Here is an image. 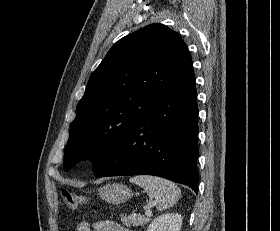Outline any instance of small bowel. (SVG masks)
<instances>
[{
	"mask_svg": "<svg viewBox=\"0 0 280 231\" xmlns=\"http://www.w3.org/2000/svg\"><path fill=\"white\" fill-rule=\"evenodd\" d=\"M96 231H124V229L116 222L110 220L97 221L94 224ZM77 231H92L91 224L87 221H81L77 224Z\"/></svg>",
	"mask_w": 280,
	"mask_h": 231,
	"instance_id": "small-bowel-1",
	"label": "small bowel"
}]
</instances>
